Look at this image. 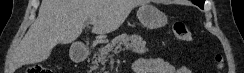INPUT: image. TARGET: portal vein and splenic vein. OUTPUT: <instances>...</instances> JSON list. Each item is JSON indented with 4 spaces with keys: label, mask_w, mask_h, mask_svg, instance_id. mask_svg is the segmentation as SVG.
Segmentation results:
<instances>
[{
    "label": "portal vein and splenic vein",
    "mask_w": 244,
    "mask_h": 73,
    "mask_svg": "<svg viewBox=\"0 0 244 73\" xmlns=\"http://www.w3.org/2000/svg\"><path fill=\"white\" fill-rule=\"evenodd\" d=\"M89 23L90 24H94L95 23V20H90Z\"/></svg>",
    "instance_id": "obj_1"
}]
</instances>
